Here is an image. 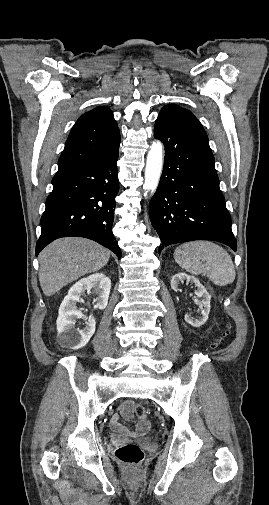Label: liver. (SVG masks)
Masks as SVG:
<instances>
[{
    "label": "liver",
    "mask_w": 269,
    "mask_h": 505,
    "mask_svg": "<svg viewBox=\"0 0 269 505\" xmlns=\"http://www.w3.org/2000/svg\"><path fill=\"white\" fill-rule=\"evenodd\" d=\"M109 251L85 238L55 240L39 254V282L46 296L58 292L68 283L104 267Z\"/></svg>",
    "instance_id": "obj_1"
}]
</instances>
